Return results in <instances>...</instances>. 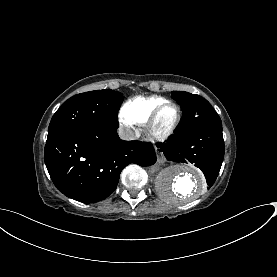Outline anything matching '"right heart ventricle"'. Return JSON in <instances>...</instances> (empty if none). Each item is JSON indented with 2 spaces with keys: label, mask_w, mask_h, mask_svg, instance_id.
Listing matches in <instances>:
<instances>
[{
  "label": "right heart ventricle",
  "mask_w": 277,
  "mask_h": 277,
  "mask_svg": "<svg viewBox=\"0 0 277 277\" xmlns=\"http://www.w3.org/2000/svg\"><path fill=\"white\" fill-rule=\"evenodd\" d=\"M165 101H168V99L158 96L131 98L123 105L121 117L124 121L132 124L143 125L150 117L152 111Z\"/></svg>",
  "instance_id": "obj_1"
}]
</instances>
